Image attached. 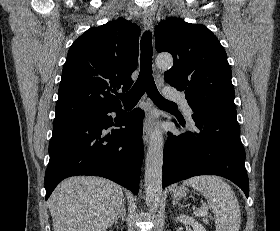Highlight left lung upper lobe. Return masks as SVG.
<instances>
[{"instance_id": "left-lung-upper-lobe-1", "label": "left lung upper lobe", "mask_w": 280, "mask_h": 231, "mask_svg": "<svg viewBox=\"0 0 280 231\" xmlns=\"http://www.w3.org/2000/svg\"><path fill=\"white\" fill-rule=\"evenodd\" d=\"M158 52H169L173 67L165 81L180 91L194 112L236 115L231 68L217 37L202 24L168 18L155 29Z\"/></svg>"}]
</instances>
